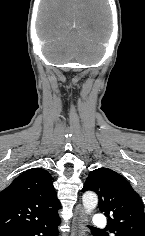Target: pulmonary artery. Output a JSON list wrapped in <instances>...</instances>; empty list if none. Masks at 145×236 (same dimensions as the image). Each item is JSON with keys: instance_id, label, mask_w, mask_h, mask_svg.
I'll use <instances>...</instances> for the list:
<instances>
[{"instance_id": "1", "label": "pulmonary artery", "mask_w": 145, "mask_h": 236, "mask_svg": "<svg viewBox=\"0 0 145 236\" xmlns=\"http://www.w3.org/2000/svg\"><path fill=\"white\" fill-rule=\"evenodd\" d=\"M92 223L95 227H105L107 225V218L102 214H96L93 217Z\"/></svg>"}]
</instances>
